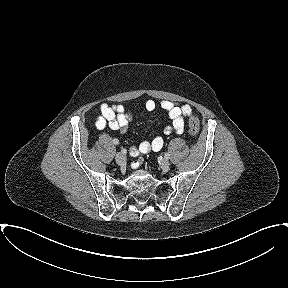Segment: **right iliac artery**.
Returning <instances> with one entry per match:
<instances>
[{"instance_id":"82829eb1","label":"right iliac artery","mask_w":288,"mask_h":288,"mask_svg":"<svg viewBox=\"0 0 288 288\" xmlns=\"http://www.w3.org/2000/svg\"><path fill=\"white\" fill-rule=\"evenodd\" d=\"M113 143H114L115 145H118V144H119V140H118V139H114V140H113Z\"/></svg>"}]
</instances>
